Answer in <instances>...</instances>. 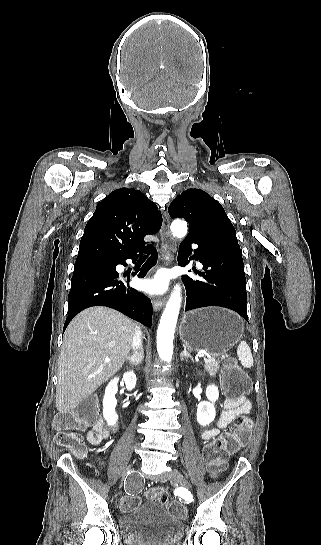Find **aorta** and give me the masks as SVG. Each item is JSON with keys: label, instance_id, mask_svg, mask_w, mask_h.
Returning <instances> with one entry per match:
<instances>
[{"label": "aorta", "instance_id": "obj_1", "mask_svg": "<svg viewBox=\"0 0 321 545\" xmlns=\"http://www.w3.org/2000/svg\"><path fill=\"white\" fill-rule=\"evenodd\" d=\"M171 231L174 236L184 238L187 234L186 222L174 220L171 224ZM180 307L181 288L176 285L160 319L157 331V352L160 359L167 362L171 361L173 355V339Z\"/></svg>", "mask_w": 321, "mask_h": 545}]
</instances>
